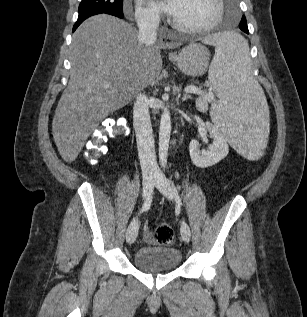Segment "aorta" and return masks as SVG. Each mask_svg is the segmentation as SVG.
Masks as SVG:
<instances>
[{"label": "aorta", "instance_id": "obj_1", "mask_svg": "<svg viewBox=\"0 0 307 317\" xmlns=\"http://www.w3.org/2000/svg\"><path fill=\"white\" fill-rule=\"evenodd\" d=\"M171 135V115L169 109H164L159 127V162L161 165L167 164L168 148Z\"/></svg>", "mask_w": 307, "mask_h": 317}]
</instances>
